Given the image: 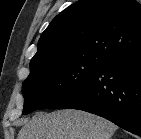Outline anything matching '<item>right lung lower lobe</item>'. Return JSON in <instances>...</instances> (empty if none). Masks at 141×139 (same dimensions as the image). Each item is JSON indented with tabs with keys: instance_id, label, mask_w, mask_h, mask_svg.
<instances>
[{
	"instance_id": "98d812e1",
	"label": "right lung lower lobe",
	"mask_w": 141,
	"mask_h": 139,
	"mask_svg": "<svg viewBox=\"0 0 141 139\" xmlns=\"http://www.w3.org/2000/svg\"><path fill=\"white\" fill-rule=\"evenodd\" d=\"M56 109H79L141 136V44L119 52Z\"/></svg>"
}]
</instances>
